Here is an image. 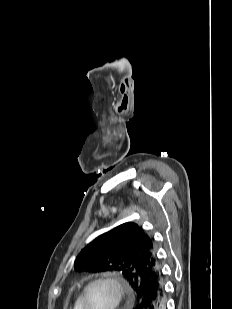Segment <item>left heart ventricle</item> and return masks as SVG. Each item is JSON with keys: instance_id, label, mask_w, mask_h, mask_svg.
<instances>
[{"instance_id": "left-heart-ventricle-1", "label": "left heart ventricle", "mask_w": 232, "mask_h": 309, "mask_svg": "<svg viewBox=\"0 0 232 309\" xmlns=\"http://www.w3.org/2000/svg\"><path fill=\"white\" fill-rule=\"evenodd\" d=\"M115 291L104 283H98L90 287L87 293V309H111L115 303Z\"/></svg>"}]
</instances>
